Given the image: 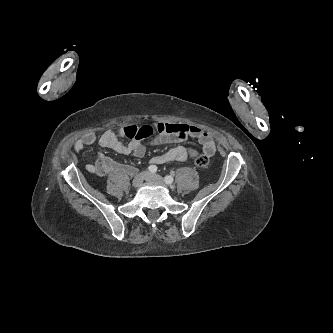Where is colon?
I'll list each match as a JSON object with an SVG mask.
<instances>
[{
    "label": "colon",
    "mask_w": 333,
    "mask_h": 333,
    "mask_svg": "<svg viewBox=\"0 0 333 333\" xmlns=\"http://www.w3.org/2000/svg\"><path fill=\"white\" fill-rule=\"evenodd\" d=\"M194 161L198 167H206L209 164V157L199 153L195 156Z\"/></svg>",
    "instance_id": "5ec220e1"
}]
</instances>
